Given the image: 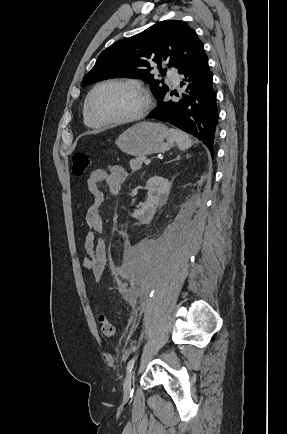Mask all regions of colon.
Segmentation results:
<instances>
[{
    "mask_svg": "<svg viewBox=\"0 0 287 434\" xmlns=\"http://www.w3.org/2000/svg\"><path fill=\"white\" fill-rule=\"evenodd\" d=\"M90 160L85 153H75L72 157V171L76 176H83L89 168ZM99 326L102 335L106 338H113L116 334L114 324L105 316H99Z\"/></svg>",
    "mask_w": 287,
    "mask_h": 434,
    "instance_id": "colon-1",
    "label": "colon"
}]
</instances>
